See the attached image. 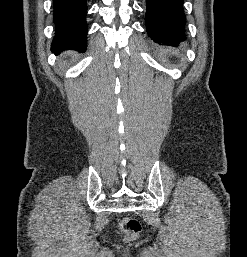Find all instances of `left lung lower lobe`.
<instances>
[{"mask_svg": "<svg viewBox=\"0 0 247 257\" xmlns=\"http://www.w3.org/2000/svg\"><path fill=\"white\" fill-rule=\"evenodd\" d=\"M146 29L156 43L179 45L185 41L183 0H146Z\"/></svg>", "mask_w": 247, "mask_h": 257, "instance_id": "1", "label": "left lung lower lobe"}]
</instances>
